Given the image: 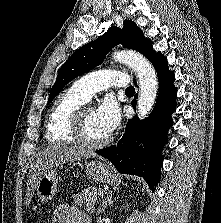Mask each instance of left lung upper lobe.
<instances>
[{"label": "left lung upper lobe", "instance_id": "obj_1", "mask_svg": "<svg viewBox=\"0 0 221 223\" xmlns=\"http://www.w3.org/2000/svg\"><path fill=\"white\" fill-rule=\"evenodd\" d=\"M116 44H123L126 48L142 53L152 64L161 55L153 50L151 40L144 37L133 21L125 20L123 29L110 27L101 37L79 48L62 65L50 91L48 103L72 79L101 64L107 52Z\"/></svg>", "mask_w": 221, "mask_h": 223}]
</instances>
